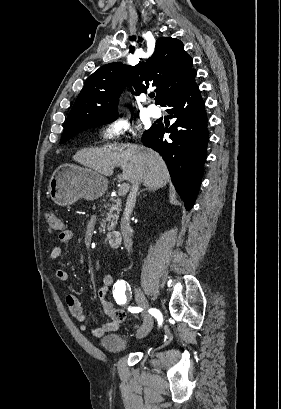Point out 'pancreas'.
Returning <instances> with one entry per match:
<instances>
[{"label":"pancreas","instance_id":"obj_1","mask_svg":"<svg viewBox=\"0 0 281 409\" xmlns=\"http://www.w3.org/2000/svg\"><path fill=\"white\" fill-rule=\"evenodd\" d=\"M111 200H113V202H116V205H109V202H107V205H105V207H109V209H107L109 213H107V219H105V221L101 223L102 227H105L106 223H110V225H108L109 231H111V229H114L115 225H117V221L119 219L121 211L120 198H111Z\"/></svg>","mask_w":281,"mask_h":409}]
</instances>
